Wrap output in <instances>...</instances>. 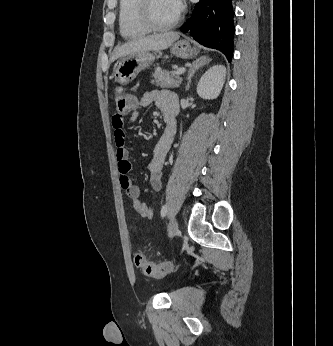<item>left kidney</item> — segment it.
Wrapping results in <instances>:
<instances>
[{"label": "left kidney", "mask_w": 333, "mask_h": 346, "mask_svg": "<svg viewBox=\"0 0 333 346\" xmlns=\"http://www.w3.org/2000/svg\"><path fill=\"white\" fill-rule=\"evenodd\" d=\"M226 76L223 65L210 67L201 77L197 85V93L203 99H215L219 96Z\"/></svg>", "instance_id": "left-kidney-1"}]
</instances>
